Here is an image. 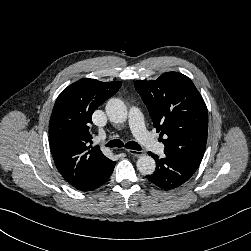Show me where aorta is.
I'll list each match as a JSON object with an SVG mask.
<instances>
[{
  "mask_svg": "<svg viewBox=\"0 0 251 251\" xmlns=\"http://www.w3.org/2000/svg\"><path fill=\"white\" fill-rule=\"evenodd\" d=\"M106 114L113 123H124L127 120V108L124 102L118 98H111L106 104ZM137 169L143 175H151L156 168L155 160L144 155L137 160Z\"/></svg>",
  "mask_w": 251,
  "mask_h": 251,
  "instance_id": "762f6f07",
  "label": "aorta"
}]
</instances>
